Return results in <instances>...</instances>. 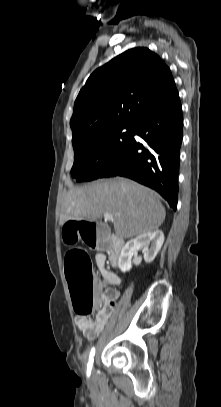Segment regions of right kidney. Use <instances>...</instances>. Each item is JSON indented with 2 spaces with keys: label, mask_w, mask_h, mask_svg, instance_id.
Instances as JSON below:
<instances>
[{
  "label": "right kidney",
  "mask_w": 221,
  "mask_h": 407,
  "mask_svg": "<svg viewBox=\"0 0 221 407\" xmlns=\"http://www.w3.org/2000/svg\"><path fill=\"white\" fill-rule=\"evenodd\" d=\"M164 243V234L161 230H154L137 236L126 243L123 247L118 266L122 272L129 271L132 267L131 259L135 252L142 248L143 257L146 263H151ZM150 246V247H149Z\"/></svg>",
  "instance_id": "obj_1"
}]
</instances>
